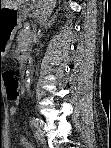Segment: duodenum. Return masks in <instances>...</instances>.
I'll list each match as a JSON object with an SVG mask.
<instances>
[{"label": "duodenum", "mask_w": 111, "mask_h": 148, "mask_svg": "<svg viewBox=\"0 0 111 148\" xmlns=\"http://www.w3.org/2000/svg\"><path fill=\"white\" fill-rule=\"evenodd\" d=\"M27 59L28 58H27V56L25 54H21L20 55V61H21V63H22L23 66L26 64Z\"/></svg>", "instance_id": "duodenum-1"}]
</instances>
